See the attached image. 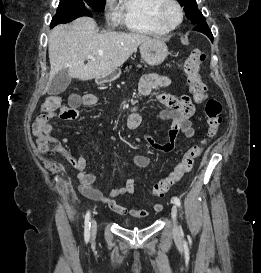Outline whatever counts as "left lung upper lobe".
<instances>
[{
    "mask_svg": "<svg viewBox=\"0 0 261 273\" xmlns=\"http://www.w3.org/2000/svg\"><path fill=\"white\" fill-rule=\"evenodd\" d=\"M181 6H184L186 17L191 20L193 25L205 22V18L198 10L196 0H178Z\"/></svg>",
    "mask_w": 261,
    "mask_h": 273,
    "instance_id": "1",
    "label": "left lung upper lobe"
}]
</instances>
